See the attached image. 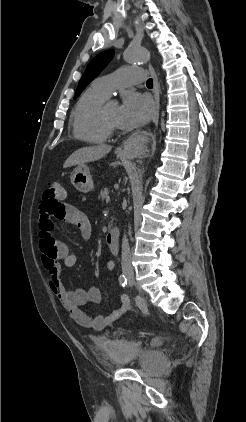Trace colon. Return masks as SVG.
I'll list each match as a JSON object with an SVG mask.
<instances>
[{"mask_svg": "<svg viewBox=\"0 0 246 422\" xmlns=\"http://www.w3.org/2000/svg\"><path fill=\"white\" fill-rule=\"evenodd\" d=\"M66 196V190L64 184L60 181H55L49 184L43 194V202L47 205L50 210L63 205V201Z\"/></svg>", "mask_w": 246, "mask_h": 422, "instance_id": "5ec220e1", "label": "colon"}]
</instances>
